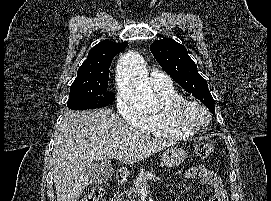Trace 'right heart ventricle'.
I'll return each instance as SVG.
<instances>
[{
    "instance_id": "obj_1",
    "label": "right heart ventricle",
    "mask_w": 271,
    "mask_h": 201,
    "mask_svg": "<svg viewBox=\"0 0 271 201\" xmlns=\"http://www.w3.org/2000/svg\"><path fill=\"white\" fill-rule=\"evenodd\" d=\"M157 96L161 102V108L150 115H146V122L142 129L155 137L179 140L195 135V131L184 129L175 124L163 111L162 106L169 101L182 98V96L172 87L155 88Z\"/></svg>"
}]
</instances>
